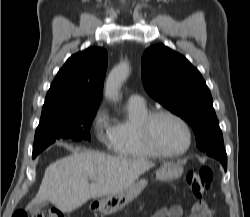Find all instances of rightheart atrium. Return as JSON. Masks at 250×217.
<instances>
[{
	"label": "right heart atrium",
	"instance_id": "1",
	"mask_svg": "<svg viewBox=\"0 0 250 217\" xmlns=\"http://www.w3.org/2000/svg\"><path fill=\"white\" fill-rule=\"evenodd\" d=\"M90 126L95 138L102 145L111 147L113 139L112 124L110 123L106 107L100 106L97 108L92 117Z\"/></svg>",
	"mask_w": 250,
	"mask_h": 217
}]
</instances>
